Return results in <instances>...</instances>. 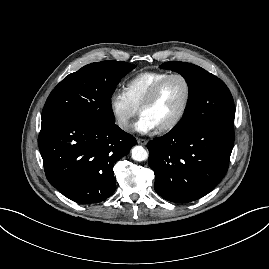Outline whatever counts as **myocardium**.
I'll use <instances>...</instances> for the list:
<instances>
[{
	"instance_id": "obj_1",
	"label": "myocardium",
	"mask_w": 269,
	"mask_h": 269,
	"mask_svg": "<svg viewBox=\"0 0 269 269\" xmlns=\"http://www.w3.org/2000/svg\"><path fill=\"white\" fill-rule=\"evenodd\" d=\"M173 78H179L184 82L185 87H186V99L179 114L170 123L159 127L158 128L159 132H169L175 129L186 116L188 109L190 107V104H191V100H192V85H191L190 80L181 73H173V74L167 75L151 89V91L149 92V94L147 95V97L144 99V101L139 107V113L141 114L145 108L151 106L155 102V100L157 99L164 85Z\"/></svg>"
}]
</instances>
